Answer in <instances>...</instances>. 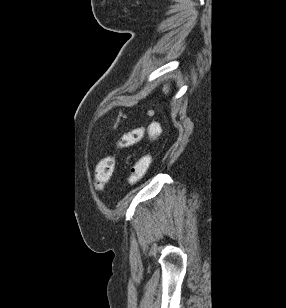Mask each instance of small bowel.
Listing matches in <instances>:
<instances>
[{
    "label": "small bowel",
    "mask_w": 286,
    "mask_h": 308,
    "mask_svg": "<svg viewBox=\"0 0 286 308\" xmlns=\"http://www.w3.org/2000/svg\"><path fill=\"white\" fill-rule=\"evenodd\" d=\"M156 124L157 123H152V124L147 126L149 128L150 132L152 130V126H154ZM159 131H160V126H159ZM158 135H159V133H152V134L149 135V138L153 140V139H156L158 137Z\"/></svg>",
    "instance_id": "c3829d8e"
}]
</instances>
